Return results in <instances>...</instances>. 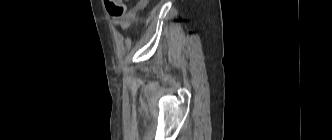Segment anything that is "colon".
<instances>
[{"label":"colon","instance_id":"colon-1","mask_svg":"<svg viewBox=\"0 0 332 140\" xmlns=\"http://www.w3.org/2000/svg\"><path fill=\"white\" fill-rule=\"evenodd\" d=\"M127 0H105V7L108 13L114 18H121L126 10ZM143 0H141L137 6L139 9L143 5Z\"/></svg>","mask_w":332,"mask_h":140}]
</instances>
